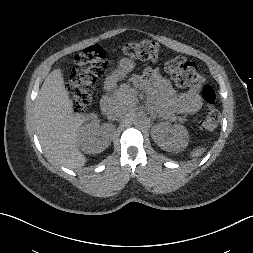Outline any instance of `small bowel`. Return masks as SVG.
I'll use <instances>...</instances> for the list:
<instances>
[{
	"instance_id": "obj_1",
	"label": "small bowel",
	"mask_w": 253,
	"mask_h": 253,
	"mask_svg": "<svg viewBox=\"0 0 253 253\" xmlns=\"http://www.w3.org/2000/svg\"><path fill=\"white\" fill-rule=\"evenodd\" d=\"M133 79L136 84L154 93L171 112L193 114L202 106L198 87L176 92L159 69H148L142 76H134Z\"/></svg>"
}]
</instances>
